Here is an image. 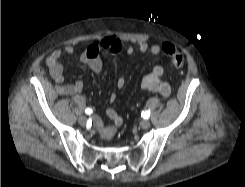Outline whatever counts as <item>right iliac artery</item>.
Masks as SVG:
<instances>
[{
  "label": "right iliac artery",
  "instance_id": "1",
  "mask_svg": "<svg viewBox=\"0 0 245 187\" xmlns=\"http://www.w3.org/2000/svg\"><path fill=\"white\" fill-rule=\"evenodd\" d=\"M85 113L90 115L92 113V109L91 108H86L85 109Z\"/></svg>",
  "mask_w": 245,
  "mask_h": 187
}]
</instances>
